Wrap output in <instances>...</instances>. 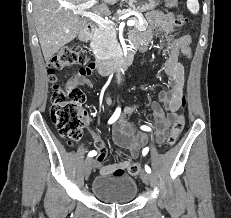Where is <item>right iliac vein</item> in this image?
I'll use <instances>...</instances> for the list:
<instances>
[{
  "label": "right iliac vein",
  "mask_w": 231,
  "mask_h": 218,
  "mask_svg": "<svg viewBox=\"0 0 231 218\" xmlns=\"http://www.w3.org/2000/svg\"><path fill=\"white\" fill-rule=\"evenodd\" d=\"M92 163H93L92 158H87L84 162L83 172H84L85 178H88L91 173Z\"/></svg>",
  "instance_id": "1"
}]
</instances>
